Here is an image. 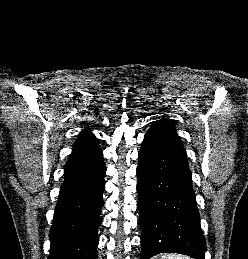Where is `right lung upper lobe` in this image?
Returning a JSON list of instances; mask_svg holds the SVG:
<instances>
[{
  "label": "right lung upper lobe",
  "mask_w": 248,
  "mask_h": 259,
  "mask_svg": "<svg viewBox=\"0 0 248 259\" xmlns=\"http://www.w3.org/2000/svg\"><path fill=\"white\" fill-rule=\"evenodd\" d=\"M100 152L97 138L91 132L84 130L73 145V153L68 162L85 160Z\"/></svg>",
  "instance_id": "obj_1"
}]
</instances>
